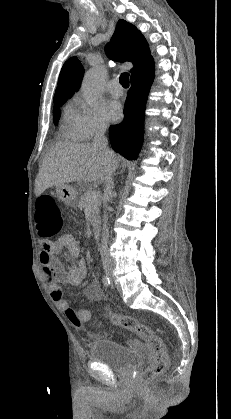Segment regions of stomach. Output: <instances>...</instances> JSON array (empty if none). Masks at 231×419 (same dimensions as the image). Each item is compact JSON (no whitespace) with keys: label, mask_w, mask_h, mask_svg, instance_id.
<instances>
[{"label":"stomach","mask_w":231,"mask_h":419,"mask_svg":"<svg viewBox=\"0 0 231 419\" xmlns=\"http://www.w3.org/2000/svg\"><path fill=\"white\" fill-rule=\"evenodd\" d=\"M56 194L59 200L66 204H74L77 200L79 190L71 185L56 186Z\"/></svg>","instance_id":"stomach-1"}]
</instances>
